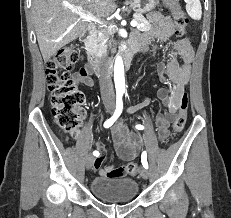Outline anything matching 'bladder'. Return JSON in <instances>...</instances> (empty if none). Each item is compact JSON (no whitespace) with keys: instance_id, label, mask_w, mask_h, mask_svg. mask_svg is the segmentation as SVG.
Instances as JSON below:
<instances>
[{"instance_id":"bladder-1","label":"bladder","mask_w":231,"mask_h":218,"mask_svg":"<svg viewBox=\"0 0 231 218\" xmlns=\"http://www.w3.org/2000/svg\"><path fill=\"white\" fill-rule=\"evenodd\" d=\"M95 197L110 203L128 202L138 193V183L127 176H97L90 185Z\"/></svg>"}]
</instances>
